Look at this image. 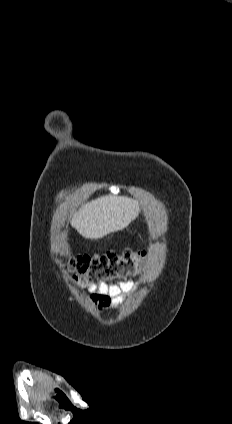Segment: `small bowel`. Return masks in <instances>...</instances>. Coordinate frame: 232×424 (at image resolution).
<instances>
[{"label": "small bowel", "mask_w": 232, "mask_h": 424, "mask_svg": "<svg viewBox=\"0 0 232 424\" xmlns=\"http://www.w3.org/2000/svg\"><path fill=\"white\" fill-rule=\"evenodd\" d=\"M89 302L96 305L100 313L119 306L124 297L136 289L132 281H122L114 284L99 283L89 286Z\"/></svg>", "instance_id": "c3829d8e"}]
</instances>
